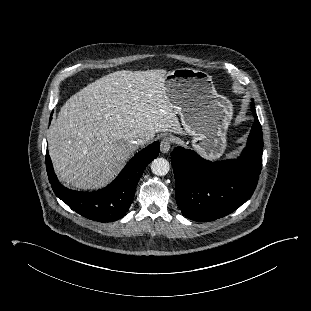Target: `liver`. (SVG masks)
<instances>
[{
  "instance_id": "obj_1",
  "label": "liver",
  "mask_w": 311,
  "mask_h": 311,
  "mask_svg": "<svg viewBox=\"0 0 311 311\" xmlns=\"http://www.w3.org/2000/svg\"><path fill=\"white\" fill-rule=\"evenodd\" d=\"M165 69L121 70L90 83L61 107L48 132L55 172L66 186L93 190L105 186L137 149L159 132L189 133L169 102Z\"/></svg>"
}]
</instances>
